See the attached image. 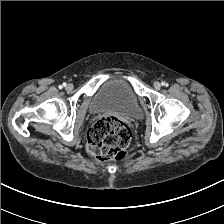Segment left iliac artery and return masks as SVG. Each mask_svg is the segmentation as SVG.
Wrapping results in <instances>:
<instances>
[{
	"mask_svg": "<svg viewBox=\"0 0 224 224\" xmlns=\"http://www.w3.org/2000/svg\"><path fill=\"white\" fill-rule=\"evenodd\" d=\"M162 85H163V86H168V84H167V83H165V82H162Z\"/></svg>",
	"mask_w": 224,
	"mask_h": 224,
	"instance_id": "obj_1",
	"label": "left iliac artery"
}]
</instances>
